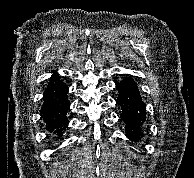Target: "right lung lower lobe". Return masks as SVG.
Masks as SVG:
<instances>
[{"instance_id":"1","label":"right lung lower lobe","mask_w":194,"mask_h":178,"mask_svg":"<svg viewBox=\"0 0 194 178\" xmlns=\"http://www.w3.org/2000/svg\"><path fill=\"white\" fill-rule=\"evenodd\" d=\"M67 93L68 86L54 74L45 89L40 115L46 122L47 130L57 136L63 134L69 122L67 110L70 107V102Z\"/></svg>"}]
</instances>
